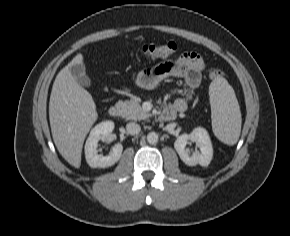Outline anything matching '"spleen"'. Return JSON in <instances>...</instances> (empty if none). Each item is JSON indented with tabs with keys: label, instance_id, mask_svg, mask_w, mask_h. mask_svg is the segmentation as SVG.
I'll list each match as a JSON object with an SVG mask.
<instances>
[{
	"label": "spleen",
	"instance_id": "obj_1",
	"mask_svg": "<svg viewBox=\"0 0 290 236\" xmlns=\"http://www.w3.org/2000/svg\"><path fill=\"white\" fill-rule=\"evenodd\" d=\"M212 128L215 136L234 145L241 132V112L233 88L224 78L214 79L209 87Z\"/></svg>",
	"mask_w": 290,
	"mask_h": 236
}]
</instances>
